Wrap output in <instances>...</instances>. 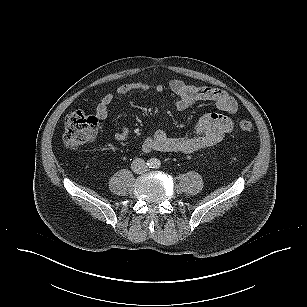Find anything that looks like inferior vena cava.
<instances>
[{
  "label": "inferior vena cava",
  "mask_w": 307,
  "mask_h": 307,
  "mask_svg": "<svg viewBox=\"0 0 307 307\" xmlns=\"http://www.w3.org/2000/svg\"><path fill=\"white\" fill-rule=\"evenodd\" d=\"M131 168L133 172L137 174H142L147 171L146 162L141 158H136L132 161Z\"/></svg>",
  "instance_id": "1"
}]
</instances>
